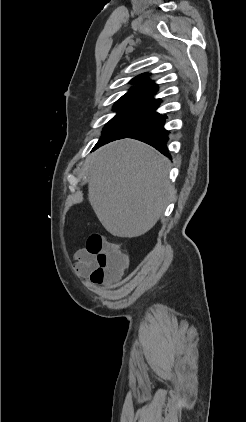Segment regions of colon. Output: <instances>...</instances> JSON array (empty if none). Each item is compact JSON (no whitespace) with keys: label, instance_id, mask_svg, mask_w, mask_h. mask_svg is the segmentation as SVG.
<instances>
[{"label":"colon","instance_id":"obj_1","mask_svg":"<svg viewBox=\"0 0 246 422\" xmlns=\"http://www.w3.org/2000/svg\"><path fill=\"white\" fill-rule=\"evenodd\" d=\"M86 250L96 257L97 267L92 273L94 279H114L126 266L127 259L120 248L98 233L89 236Z\"/></svg>","mask_w":246,"mask_h":422}]
</instances>
